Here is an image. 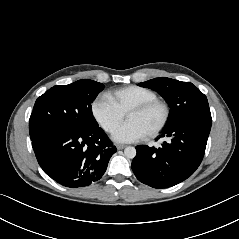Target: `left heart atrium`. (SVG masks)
Listing matches in <instances>:
<instances>
[{
  "label": "left heart atrium",
  "mask_w": 239,
  "mask_h": 239,
  "mask_svg": "<svg viewBox=\"0 0 239 239\" xmlns=\"http://www.w3.org/2000/svg\"><path fill=\"white\" fill-rule=\"evenodd\" d=\"M117 142L130 143L146 137V133L135 123L126 122L115 129L112 135Z\"/></svg>",
  "instance_id": "39dd6f15"
}]
</instances>
